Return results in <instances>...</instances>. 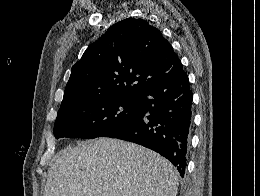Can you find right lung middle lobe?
Masks as SVG:
<instances>
[{"label":"right lung middle lobe","mask_w":260,"mask_h":196,"mask_svg":"<svg viewBox=\"0 0 260 196\" xmlns=\"http://www.w3.org/2000/svg\"><path fill=\"white\" fill-rule=\"evenodd\" d=\"M141 118L137 97L102 94L59 110L54 136L56 139L104 137Z\"/></svg>","instance_id":"obj_1"}]
</instances>
